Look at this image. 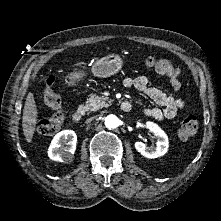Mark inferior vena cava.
<instances>
[{"label":"inferior vena cava","instance_id":"obj_1","mask_svg":"<svg viewBox=\"0 0 221 221\" xmlns=\"http://www.w3.org/2000/svg\"><path fill=\"white\" fill-rule=\"evenodd\" d=\"M92 120H93V117L89 118V119L87 120V123H90Z\"/></svg>","mask_w":221,"mask_h":221}]
</instances>
